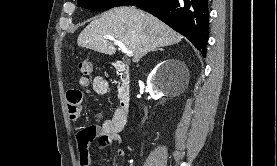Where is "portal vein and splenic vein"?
Listing matches in <instances>:
<instances>
[{"label":"portal vein and splenic vein","instance_id":"18ae733b","mask_svg":"<svg viewBox=\"0 0 277 166\" xmlns=\"http://www.w3.org/2000/svg\"><path fill=\"white\" fill-rule=\"evenodd\" d=\"M104 38H105V39H108V40H110V41H114V42L119 46V49H120L124 54H126L128 57L133 56V52L130 51V50H128L122 42L116 40L114 37H112V36H104Z\"/></svg>","mask_w":277,"mask_h":166}]
</instances>
